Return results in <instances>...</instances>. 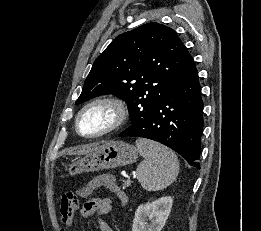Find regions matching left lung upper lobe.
I'll list each match as a JSON object with an SVG mask.
<instances>
[{
  "label": "left lung upper lobe",
  "mask_w": 261,
  "mask_h": 231,
  "mask_svg": "<svg viewBox=\"0 0 261 231\" xmlns=\"http://www.w3.org/2000/svg\"><path fill=\"white\" fill-rule=\"evenodd\" d=\"M195 67L173 29L147 23L109 44L95 60L76 104L114 94L127 103L133 124L143 120Z\"/></svg>",
  "instance_id": "5c2ea615"
}]
</instances>
